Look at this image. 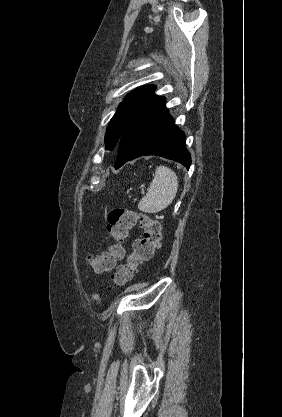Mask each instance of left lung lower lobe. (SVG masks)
Returning <instances> with one entry per match:
<instances>
[{
    "mask_svg": "<svg viewBox=\"0 0 282 417\" xmlns=\"http://www.w3.org/2000/svg\"><path fill=\"white\" fill-rule=\"evenodd\" d=\"M186 136L174 123L165 107V98L151 94L126 120L116 149L115 169L143 155L177 161L189 169L190 153Z\"/></svg>",
    "mask_w": 282,
    "mask_h": 417,
    "instance_id": "0a47b994",
    "label": "left lung lower lobe"
}]
</instances>
